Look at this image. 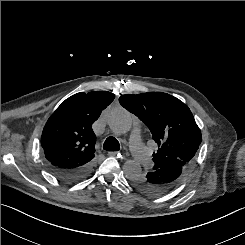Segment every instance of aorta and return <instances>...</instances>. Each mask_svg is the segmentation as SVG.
I'll use <instances>...</instances> for the list:
<instances>
[{
	"mask_svg": "<svg viewBox=\"0 0 245 245\" xmlns=\"http://www.w3.org/2000/svg\"><path fill=\"white\" fill-rule=\"evenodd\" d=\"M107 124L114 134H126L132 128L131 114L123 108H115L109 113ZM123 171L126 178L133 181L137 176L141 175L142 168L137 161L127 160L123 165Z\"/></svg>",
	"mask_w": 245,
	"mask_h": 245,
	"instance_id": "aorta-1",
	"label": "aorta"
}]
</instances>
